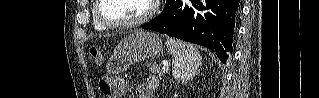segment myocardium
<instances>
[{"label":"myocardium","instance_id":"obj_1","mask_svg":"<svg viewBox=\"0 0 319 98\" xmlns=\"http://www.w3.org/2000/svg\"><path fill=\"white\" fill-rule=\"evenodd\" d=\"M103 1L104 0L96 1L97 3L95 6V17L98 20V22L106 28H132V27L142 25L153 17L158 6L157 0H147L148 2L147 10L141 16L129 21L113 22V21L107 20L101 13Z\"/></svg>","mask_w":319,"mask_h":98}]
</instances>
